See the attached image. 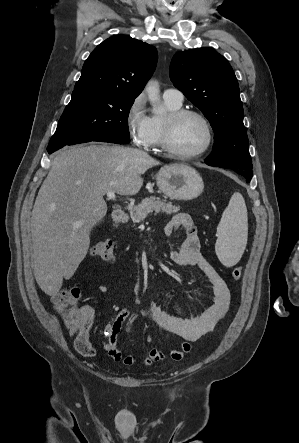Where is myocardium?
Returning a JSON list of instances; mask_svg holds the SVG:
<instances>
[{
	"label": "myocardium",
	"mask_w": 299,
	"mask_h": 443,
	"mask_svg": "<svg viewBox=\"0 0 299 443\" xmlns=\"http://www.w3.org/2000/svg\"><path fill=\"white\" fill-rule=\"evenodd\" d=\"M187 116H195L199 118L205 125L207 131V139L203 147L193 153H182L175 150L171 145V136L173 129L178 121ZM214 132L209 119L201 112L193 109H178L170 111L162 121V131L160 137V148L169 156L178 159H195L204 155L213 143Z\"/></svg>",
	"instance_id": "myocardium-1"
}]
</instances>
